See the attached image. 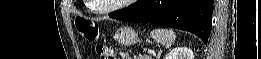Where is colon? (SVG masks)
<instances>
[{"label":"colon","mask_w":261,"mask_h":59,"mask_svg":"<svg viewBox=\"0 0 261 59\" xmlns=\"http://www.w3.org/2000/svg\"><path fill=\"white\" fill-rule=\"evenodd\" d=\"M75 24L79 32L87 41L97 42L99 40L100 38L99 26L94 21L78 19L75 21ZM96 52L102 59L116 58V51L102 44L96 45Z\"/></svg>","instance_id":"obj_1"}]
</instances>
